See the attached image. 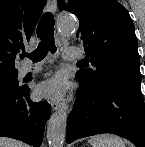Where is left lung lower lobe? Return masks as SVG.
Here are the masks:
<instances>
[{
  "mask_svg": "<svg viewBox=\"0 0 145 147\" xmlns=\"http://www.w3.org/2000/svg\"><path fill=\"white\" fill-rule=\"evenodd\" d=\"M77 79V78H76ZM80 87L67 124V143L112 133L145 147V108L141 76L119 75L99 86Z\"/></svg>",
  "mask_w": 145,
  "mask_h": 147,
  "instance_id": "obj_1",
  "label": "left lung lower lobe"
}]
</instances>
